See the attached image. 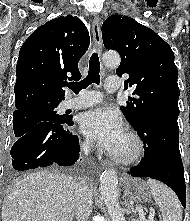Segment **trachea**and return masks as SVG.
<instances>
[{
	"mask_svg": "<svg viewBox=\"0 0 190 221\" xmlns=\"http://www.w3.org/2000/svg\"><path fill=\"white\" fill-rule=\"evenodd\" d=\"M100 62L97 53H93L89 61V72L86 78L77 83H69L68 87L72 89L74 93H78L80 90L87 88L90 84L100 83Z\"/></svg>",
	"mask_w": 190,
	"mask_h": 221,
	"instance_id": "obj_1",
	"label": "trachea"
}]
</instances>
